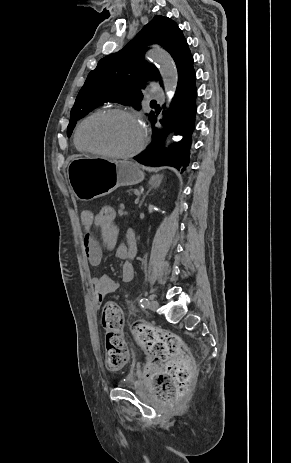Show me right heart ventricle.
I'll return each instance as SVG.
<instances>
[{
  "label": "right heart ventricle",
  "mask_w": 291,
  "mask_h": 463,
  "mask_svg": "<svg viewBox=\"0 0 291 463\" xmlns=\"http://www.w3.org/2000/svg\"><path fill=\"white\" fill-rule=\"evenodd\" d=\"M75 143H76V141H75ZM76 146H77V148H78L79 150H83V149H81V148L77 145V143H76Z\"/></svg>",
  "instance_id": "e07e8e85"
}]
</instances>
